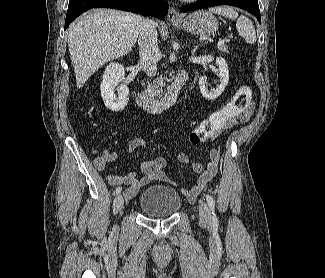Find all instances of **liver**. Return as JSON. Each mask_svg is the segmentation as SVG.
<instances>
[{"instance_id":"obj_1","label":"liver","mask_w":325,"mask_h":278,"mask_svg":"<svg viewBox=\"0 0 325 278\" xmlns=\"http://www.w3.org/2000/svg\"><path fill=\"white\" fill-rule=\"evenodd\" d=\"M143 20L134 13L95 9L70 26L68 47L77 88L102 65L132 50Z\"/></svg>"}]
</instances>
